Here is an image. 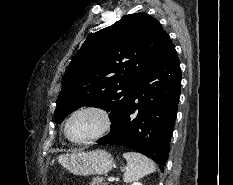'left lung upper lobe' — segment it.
<instances>
[{
    "instance_id": "left-lung-upper-lobe-1",
    "label": "left lung upper lobe",
    "mask_w": 233,
    "mask_h": 185,
    "mask_svg": "<svg viewBox=\"0 0 233 185\" xmlns=\"http://www.w3.org/2000/svg\"><path fill=\"white\" fill-rule=\"evenodd\" d=\"M169 40L161 24L146 13L125 15L90 35L63 78L56 121L92 106L110 112L114 127L131 103L138 80Z\"/></svg>"
}]
</instances>
